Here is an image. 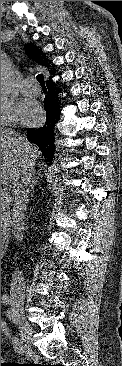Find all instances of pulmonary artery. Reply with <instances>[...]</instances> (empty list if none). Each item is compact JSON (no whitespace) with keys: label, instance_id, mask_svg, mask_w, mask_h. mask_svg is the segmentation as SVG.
<instances>
[{"label":"pulmonary artery","instance_id":"obj_1","mask_svg":"<svg viewBox=\"0 0 122 366\" xmlns=\"http://www.w3.org/2000/svg\"><path fill=\"white\" fill-rule=\"evenodd\" d=\"M20 90L22 93L27 95L36 96L40 93V89L37 84L29 79H25L20 85Z\"/></svg>","mask_w":122,"mask_h":366}]
</instances>
